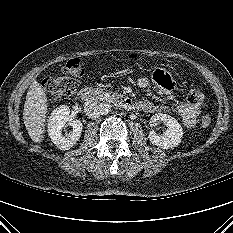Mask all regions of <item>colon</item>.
<instances>
[{"label": "colon", "instance_id": "5ec220e1", "mask_svg": "<svg viewBox=\"0 0 233 233\" xmlns=\"http://www.w3.org/2000/svg\"><path fill=\"white\" fill-rule=\"evenodd\" d=\"M135 59V55L129 56ZM63 76L48 77L43 81L44 89L54 98L67 99L70 98L76 91L77 79L83 76L84 68L80 59L73 58L66 62L63 67ZM204 100V94L198 90L193 89L189 92L187 101L192 105H200ZM201 124L207 127L211 124V117L204 114L201 118Z\"/></svg>", "mask_w": 233, "mask_h": 233}]
</instances>
